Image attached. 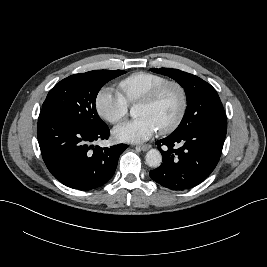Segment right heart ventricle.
<instances>
[{
  "mask_svg": "<svg viewBox=\"0 0 267 267\" xmlns=\"http://www.w3.org/2000/svg\"><path fill=\"white\" fill-rule=\"evenodd\" d=\"M165 81L167 79L159 74L145 71L135 72L118 83V93L128 104H135Z\"/></svg>",
  "mask_w": 267,
  "mask_h": 267,
  "instance_id": "right-heart-ventricle-1",
  "label": "right heart ventricle"
}]
</instances>
